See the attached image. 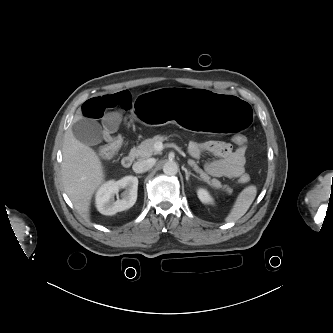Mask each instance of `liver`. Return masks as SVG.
Here are the masks:
<instances>
[{
    "instance_id": "liver-1",
    "label": "liver",
    "mask_w": 333,
    "mask_h": 333,
    "mask_svg": "<svg viewBox=\"0 0 333 333\" xmlns=\"http://www.w3.org/2000/svg\"><path fill=\"white\" fill-rule=\"evenodd\" d=\"M81 119L75 116L74 121ZM62 183L78 212L89 219L90 204L95 190L104 181L101 161L96 152L77 140L68 129L62 147Z\"/></svg>"
}]
</instances>
